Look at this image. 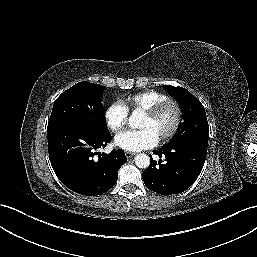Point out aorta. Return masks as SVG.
<instances>
[{"mask_svg":"<svg viewBox=\"0 0 257 257\" xmlns=\"http://www.w3.org/2000/svg\"><path fill=\"white\" fill-rule=\"evenodd\" d=\"M138 118L139 116L137 113H133L129 117V124L131 127L135 128L138 126ZM135 164L138 168L146 169L150 165V158L148 155L144 153L137 154L135 157Z\"/></svg>","mask_w":257,"mask_h":257,"instance_id":"obj_1","label":"aorta"}]
</instances>
